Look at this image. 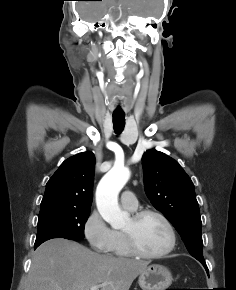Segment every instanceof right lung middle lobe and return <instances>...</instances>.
I'll return each mask as SVG.
<instances>
[{
  "instance_id": "right-lung-middle-lobe-1",
  "label": "right lung middle lobe",
  "mask_w": 236,
  "mask_h": 290,
  "mask_svg": "<svg viewBox=\"0 0 236 290\" xmlns=\"http://www.w3.org/2000/svg\"><path fill=\"white\" fill-rule=\"evenodd\" d=\"M90 209L46 208L40 210L35 246L53 239L82 240Z\"/></svg>"
}]
</instances>
